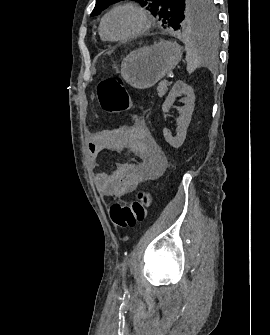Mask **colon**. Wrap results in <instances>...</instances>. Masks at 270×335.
I'll use <instances>...</instances> for the list:
<instances>
[{"label":"colon","mask_w":270,"mask_h":335,"mask_svg":"<svg viewBox=\"0 0 270 335\" xmlns=\"http://www.w3.org/2000/svg\"><path fill=\"white\" fill-rule=\"evenodd\" d=\"M101 107L106 111H128L132 100L120 78H108L96 88ZM151 199L144 190H139L128 204L113 201L110 204V219L119 229H126L142 223L148 215Z\"/></svg>","instance_id":"1"}]
</instances>
